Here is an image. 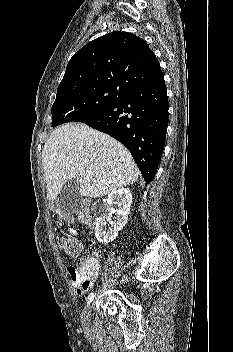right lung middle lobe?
Listing matches in <instances>:
<instances>
[{"instance_id": "right-lung-middle-lobe-1", "label": "right lung middle lobe", "mask_w": 233, "mask_h": 352, "mask_svg": "<svg viewBox=\"0 0 233 352\" xmlns=\"http://www.w3.org/2000/svg\"><path fill=\"white\" fill-rule=\"evenodd\" d=\"M123 86L102 85L75 89L57 95L52 106V127L92 116L126 97Z\"/></svg>"}]
</instances>
